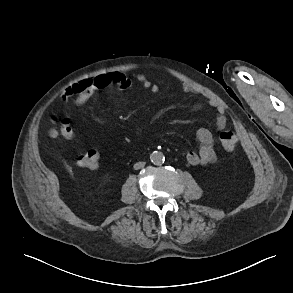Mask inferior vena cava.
<instances>
[{
	"instance_id": "inferior-vena-cava-1",
	"label": "inferior vena cava",
	"mask_w": 293,
	"mask_h": 293,
	"mask_svg": "<svg viewBox=\"0 0 293 293\" xmlns=\"http://www.w3.org/2000/svg\"><path fill=\"white\" fill-rule=\"evenodd\" d=\"M145 166V162H137L134 164V169L135 170H138V169H141Z\"/></svg>"
}]
</instances>
